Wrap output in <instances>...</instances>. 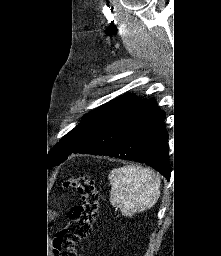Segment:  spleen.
Returning a JSON list of instances; mask_svg holds the SVG:
<instances>
[{"instance_id":"obj_1","label":"spleen","mask_w":221,"mask_h":256,"mask_svg":"<svg viewBox=\"0 0 221 256\" xmlns=\"http://www.w3.org/2000/svg\"><path fill=\"white\" fill-rule=\"evenodd\" d=\"M110 203L123 215L150 209L160 194V180L148 168L123 166L110 172Z\"/></svg>"}]
</instances>
